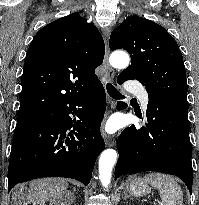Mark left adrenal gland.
<instances>
[{
    "instance_id": "a2214340",
    "label": "left adrenal gland",
    "mask_w": 199,
    "mask_h": 205,
    "mask_svg": "<svg viewBox=\"0 0 199 205\" xmlns=\"http://www.w3.org/2000/svg\"><path fill=\"white\" fill-rule=\"evenodd\" d=\"M124 195H125V197H124L125 199H126V198H131V197L128 195L127 192H125Z\"/></svg>"
}]
</instances>
